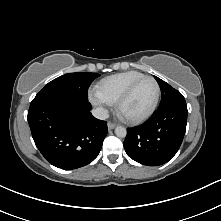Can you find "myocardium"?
Returning a JSON list of instances; mask_svg holds the SVG:
<instances>
[{"label": "myocardium", "mask_w": 221, "mask_h": 221, "mask_svg": "<svg viewBox=\"0 0 221 221\" xmlns=\"http://www.w3.org/2000/svg\"><path fill=\"white\" fill-rule=\"evenodd\" d=\"M146 79H149V80L153 81L154 84H155V87H156V95H155V98H154V101H153L152 105L150 106V108L146 112H144V113H142L138 116H128V115H126L123 112L124 104L130 98V96L132 95V93H133L134 89L136 88V86L140 82H142L143 80H146ZM160 93H161V90H160V86H159V83L157 82V80L152 76L144 75V76L136 79L135 81H133L127 87V89L123 92V94L120 96V98L117 101V111L121 115V117L123 119H125L127 122H129V123H140V122L146 120L147 118H149L154 113V111L156 110L157 105L159 103Z\"/></svg>", "instance_id": "obj_1"}]
</instances>
